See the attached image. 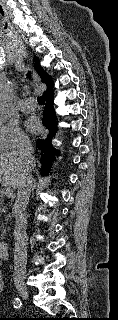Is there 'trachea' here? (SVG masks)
I'll return each instance as SVG.
<instances>
[{
    "label": "trachea",
    "instance_id": "3493384b",
    "mask_svg": "<svg viewBox=\"0 0 118 320\" xmlns=\"http://www.w3.org/2000/svg\"><path fill=\"white\" fill-rule=\"evenodd\" d=\"M27 77H28V78H31V73H30V72L27 73ZM37 101H38V103L41 104V105H44V104H45V99H44L43 96L38 97V98H37Z\"/></svg>",
    "mask_w": 118,
    "mask_h": 320
}]
</instances>
